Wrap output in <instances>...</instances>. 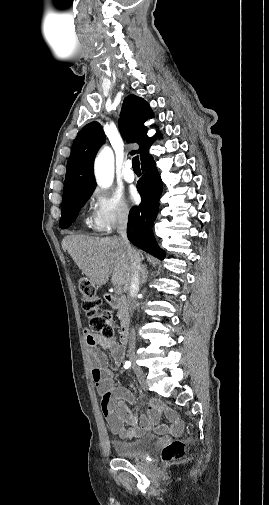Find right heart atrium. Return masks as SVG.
Segmentation results:
<instances>
[{
  "instance_id": "1",
  "label": "right heart atrium",
  "mask_w": 269,
  "mask_h": 505,
  "mask_svg": "<svg viewBox=\"0 0 269 505\" xmlns=\"http://www.w3.org/2000/svg\"><path fill=\"white\" fill-rule=\"evenodd\" d=\"M90 223L97 231L109 232L127 221L130 210L123 198L111 191L97 189L90 197Z\"/></svg>"
}]
</instances>
